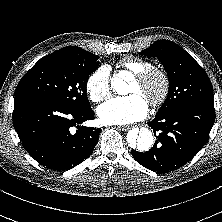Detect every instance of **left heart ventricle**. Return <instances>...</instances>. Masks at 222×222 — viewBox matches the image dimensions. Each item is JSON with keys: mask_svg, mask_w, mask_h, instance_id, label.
<instances>
[{"mask_svg": "<svg viewBox=\"0 0 222 222\" xmlns=\"http://www.w3.org/2000/svg\"><path fill=\"white\" fill-rule=\"evenodd\" d=\"M159 89H160V80L157 78L153 79L148 84H141L138 81L134 80L130 85L128 93L129 94L138 93L142 95L147 102H149L157 95Z\"/></svg>", "mask_w": 222, "mask_h": 222, "instance_id": "1", "label": "left heart ventricle"}]
</instances>
